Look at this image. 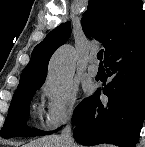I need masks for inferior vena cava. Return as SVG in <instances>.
<instances>
[{
    "mask_svg": "<svg viewBox=\"0 0 145 147\" xmlns=\"http://www.w3.org/2000/svg\"><path fill=\"white\" fill-rule=\"evenodd\" d=\"M64 147H74V142L71 137V126L68 124L60 136Z\"/></svg>",
    "mask_w": 145,
    "mask_h": 147,
    "instance_id": "obj_1",
    "label": "inferior vena cava"
}]
</instances>
